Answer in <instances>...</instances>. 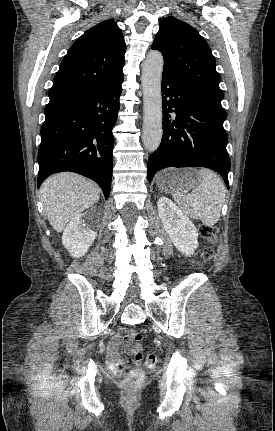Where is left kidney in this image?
Instances as JSON below:
<instances>
[{"label":"left kidney","mask_w":275,"mask_h":431,"mask_svg":"<svg viewBox=\"0 0 275 431\" xmlns=\"http://www.w3.org/2000/svg\"><path fill=\"white\" fill-rule=\"evenodd\" d=\"M158 214L174 246L184 255L194 254L198 248V231L193 222L169 198L158 200Z\"/></svg>","instance_id":"left-kidney-1"}]
</instances>
